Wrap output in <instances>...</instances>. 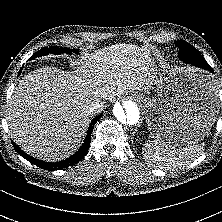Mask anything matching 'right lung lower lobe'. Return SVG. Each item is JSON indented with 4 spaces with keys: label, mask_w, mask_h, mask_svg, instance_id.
<instances>
[{
    "label": "right lung lower lobe",
    "mask_w": 222,
    "mask_h": 222,
    "mask_svg": "<svg viewBox=\"0 0 222 222\" xmlns=\"http://www.w3.org/2000/svg\"><path fill=\"white\" fill-rule=\"evenodd\" d=\"M29 60H32V58H30ZM23 68H21V70L19 71V74L21 73ZM102 114H99L98 116H96L95 118L92 119L89 127H88V131H87V135L85 137L84 143L82 144V146L80 147V149L71 157L63 160V161H59V162H45L36 158L31 157L30 155L26 154L23 150H21L13 141L12 144L14 146V149L26 160H28L30 163H33L34 165L42 168V169H46V170H57V169H63L66 168L68 166L74 165L76 163H78L81 159L84 158V156L87 154V151L89 149L90 146V141H91V132L92 129L95 125V123L101 118Z\"/></svg>",
    "instance_id": "98d812e1"
}]
</instances>
